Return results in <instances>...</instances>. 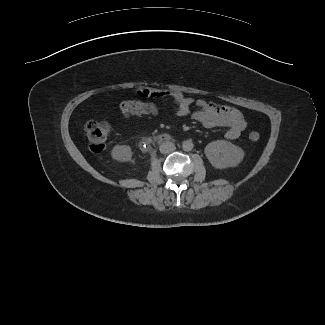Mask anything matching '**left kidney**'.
I'll return each mask as SVG.
<instances>
[{
	"label": "left kidney",
	"instance_id": "1",
	"mask_svg": "<svg viewBox=\"0 0 325 325\" xmlns=\"http://www.w3.org/2000/svg\"><path fill=\"white\" fill-rule=\"evenodd\" d=\"M205 155L216 169L236 167L244 158L242 148L225 140H217L205 147Z\"/></svg>",
	"mask_w": 325,
	"mask_h": 325
}]
</instances>
